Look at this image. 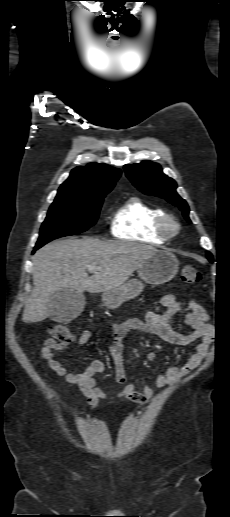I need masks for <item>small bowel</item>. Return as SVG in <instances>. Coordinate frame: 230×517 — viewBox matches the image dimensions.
<instances>
[{
  "label": "small bowel",
  "mask_w": 230,
  "mask_h": 517,
  "mask_svg": "<svg viewBox=\"0 0 230 517\" xmlns=\"http://www.w3.org/2000/svg\"><path fill=\"white\" fill-rule=\"evenodd\" d=\"M160 304L163 311H150L144 320L134 318L111 326L112 340L108 350L114 362L116 380L123 386L122 392L118 394H107L96 383L95 375L105 371V364L102 361H92L84 371L69 372L55 357V352L68 347L52 338L44 341L40 350V358L55 375L65 379L72 387L80 389L92 409L98 408L100 400L115 401L122 397L137 404H144L153 396L154 388L144 385L139 391L135 382L127 380L123 359V341L129 331L146 332L178 346L193 345V350L183 365H171L157 375L155 379L157 389L176 384L197 368L207 357L215 336L213 326L208 323L205 309L195 300H178L174 295L167 294L161 298ZM183 307L188 309L185 315V323L191 328V332L188 334H181L171 327L173 318ZM92 336V331L84 330L79 338V346L87 344ZM156 357L155 352L147 354L149 361L155 360Z\"/></svg>",
  "instance_id": "small-bowel-1"
}]
</instances>
